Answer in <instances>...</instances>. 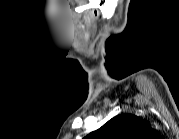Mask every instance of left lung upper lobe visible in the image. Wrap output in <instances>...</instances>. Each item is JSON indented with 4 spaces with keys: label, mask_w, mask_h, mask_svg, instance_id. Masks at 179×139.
Returning a JSON list of instances; mask_svg holds the SVG:
<instances>
[{
    "label": "left lung upper lobe",
    "mask_w": 179,
    "mask_h": 139,
    "mask_svg": "<svg viewBox=\"0 0 179 139\" xmlns=\"http://www.w3.org/2000/svg\"><path fill=\"white\" fill-rule=\"evenodd\" d=\"M152 132L146 122L132 114L113 117L98 130L88 135L89 139H143Z\"/></svg>",
    "instance_id": "5c2ea615"
}]
</instances>
